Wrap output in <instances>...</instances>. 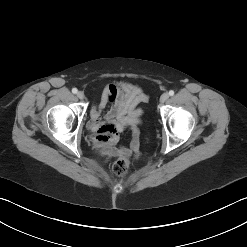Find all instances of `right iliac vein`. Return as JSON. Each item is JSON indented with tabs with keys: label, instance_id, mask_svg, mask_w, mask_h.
<instances>
[{
	"label": "right iliac vein",
	"instance_id": "63e3f726",
	"mask_svg": "<svg viewBox=\"0 0 247 247\" xmlns=\"http://www.w3.org/2000/svg\"><path fill=\"white\" fill-rule=\"evenodd\" d=\"M77 97L79 99H84L85 95H84V93L82 91H79V92H77Z\"/></svg>",
	"mask_w": 247,
	"mask_h": 247
}]
</instances>
